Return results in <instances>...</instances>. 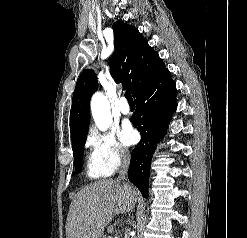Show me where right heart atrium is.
Returning a JSON list of instances; mask_svg holds the SVG:
<instances>
[{
	"mask_svg": "<svg viewBox=\"0 0 247 238\" xmlns=\"http://www.w3.org/2000/svg\"><path fill=\"white\" fill-rule=\"evenodd\" d=\"M88 142L92 152L111 173L130 157L129 150L119 142L113 130L93 131L89 135Z\"/></svg>",
	"mask_w": 247,
	"mask_h": 238,
	"instance_id": "1",
	"label": "right heart atrium"
}]
</instances>
